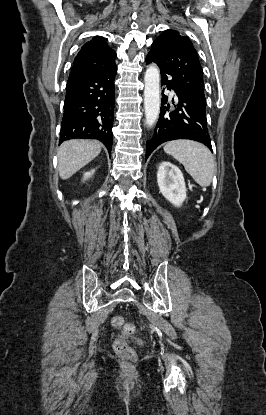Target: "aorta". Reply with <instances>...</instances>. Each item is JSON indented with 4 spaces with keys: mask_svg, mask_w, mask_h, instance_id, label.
Instances as JSON below:
<instances>
[{
    "mask_svg": "<svg viewBox=\"0 0 266 415\" xmlns=\"http://www.w3.org/2000/svg\"><path fill=\"white\" fill-rule=\"evenodd\" d=\"M144 111L146 125L152 127L160 113V72L155 64L147 67L144 75Z\"/></svg>",
    "mask_w": 266,
    "mask_h": 415,
    "instance_id": "1",
    "label": "aorta"
}]
</instances>
